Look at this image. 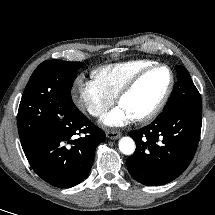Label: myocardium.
<instances>
[{
	"instance_id": "myocardium-1",
	"label": "myocardium",
	"mask_w": 215,
	"mask_h": 215,
	"mask_svg": "<svg viewBox=\"0 0 215 215\" xmlns=\"http://www.w3.org/2000/svg\"><path fill=\"white\" fill-rule=\"evenodd\" d=\"M158 68H165L169 72L170 80H169L168 86H167L164 94L162 95V97L160 98V100L154 106V108L152 110H150L145 115L133 118V120L136 123H139V124L149 123L152 120H154L164 109V107L166 106V104L172 94V91H173L174 85H175V76H174L172 69L168 65L163 64V63H154L152 65H149V66L145 67L144 69L140 70L139 72H137L132 78H130L127 81V83L121 88L119 93L117 94V102L120 104V102L123 100V98L126 97L129 93H131L133 91V89L138 85V83L147 74H149L150 72H152L153 70L158 69Z\"/></svg>"
}]
</instances>
